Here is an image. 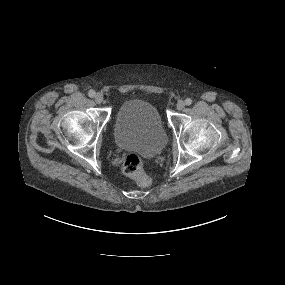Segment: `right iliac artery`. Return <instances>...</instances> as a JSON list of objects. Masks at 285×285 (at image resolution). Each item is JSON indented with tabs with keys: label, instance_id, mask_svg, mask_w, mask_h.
Returning a JSON list of instances; mask_svg holds the SVG:
<instances>
[{
	"label": "right iliac artery",
	"instance_id": "right-iliac-artery-1",
	"mask_svg": "<svg viewBox=\"0 0 285 285\" xmlns=\"http://www.w3.org/2000/svg\"><path fill=\"white\" fill-rule=\"evenodd\" d=\"M89 97H94L95 96V91L94 90H90L88 92Z\"/></svg>",
	"mask_w": 285,
	"mask_h": 285
}]
</instances>
